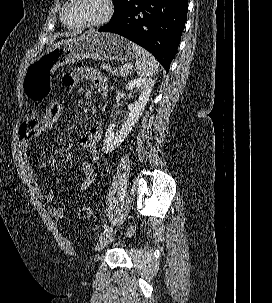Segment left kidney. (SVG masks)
Returning <instances> with one entry per match:
<instances>
[{
  "instance_id": "obj_1",
  "label": "left kidney",
  "mask_w": 272,
  "mask_h": 303,
  "mask_svg": "<svg viewBox=\"0 0 272 303\" xmlns=\"http://www.w3.org/2000/svg\"><path fill=\"white\" fill-rule=\"evenodd\" d=\"M154 84L155 80L150 78H136L127 83L125 90L137 88L140 91V94L137 101L128 105L129 112L119 129L116 130L114 124L109 125L103 143L102 150L104 153H109L117 148L131 132L132 128L142 115Z\"/></svg>"
}]
</instances>
